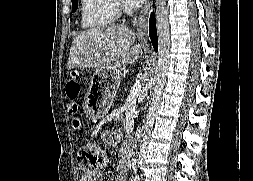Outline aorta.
Returning a JSON list of instances; mask_svg holds the SVG:
<instances>
[{
  "instance_id": "762f6f07",
  "label": "aorta",
  "mask_w": 253,
  "mask_h": 181,
  "mask_svg": "<svg viewBox=\"0 0 253 181\" xmlns=\"http://www.w3.org/2000/svg\"><path fill=\"white\" fill-rule=\"evenodd\" d=\"M156 23L158 33V60L156 66L155 88L152 99V106L149 107L147 112L146 123L143 125V136L141 139L140 157H145L144 150L148 149V141L150 139L151 128L154 127V119L156 118V110L161 102V95L163 86L166 82L168 72L169 59H170V33L168 10L166 8V0H156Z\"/></svg>"
}]
</instances>
